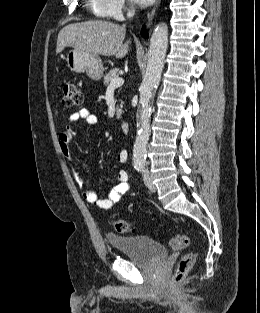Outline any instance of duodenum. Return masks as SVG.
<instances>
[{"label": "duodenum", "instance_id": "obj_1", "mask_svg": "<svg viewBox=\"0 0 260 313\" xmlns=\"http://www.w3.org/2000/svg\"><path fill=\"white\" fill-rule=\"evenodd\" d=\"M122 130L125 134L129 133V123L127 121L122 122Z\"/></svg>", "mask_w": 260, "mask_h": 313}]
</instances>
